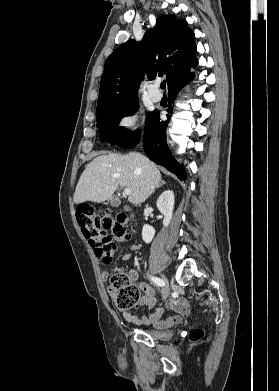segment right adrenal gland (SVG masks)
Returning <instances> with one entry per match:
<instances>
[{
  "mask_svg": "<svg viewBox=\"0 0 279 391\" xmlns=\"http://www.w3.org/2000/svg\"><path fill=\"white\" fill-rule=\"evenodd\" d=\"M164 184H166V182L165 181H161V183L156 188H159V187L163 186Z\"/></svg>",
  "mask_w": 279,
  "mask_h": 391,
  "instance_id": "1",
  "label": "right adrenal gland"
}]
</instances>
